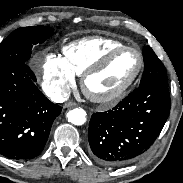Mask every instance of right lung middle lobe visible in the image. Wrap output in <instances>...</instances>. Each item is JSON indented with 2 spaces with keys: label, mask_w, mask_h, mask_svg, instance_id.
Listing matches in <instances>:
<instances>
[{
  "label": "right lung middle lobe",
  "mask_w": 183,
  "mask_h": 183,
  "mask_svg": "<svg viewBox=\"0 0 183 183\" xmlns=\"http://www.w3.org/2000/svg\"><path fill=\"white\" fill-rule=\"evenodd\" d=\"M53 33L54 30L46 26L15 30L0 44V67L27 63L32 47L37 43H43Z\"/></svg>",
  "instance_id": "1"
}]
</instances>
